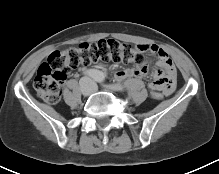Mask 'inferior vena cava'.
<instances>
[{"mask_svg":"<svg viewBox=\"0 0 219 174\" xmlns=\"http://www.w3.org/2000/svg\"><path fill=\"white\" fill-rule=\"evenodd\" d=\"M87 83L89 84V93H92L97 89L96 83L90 78H87Z\"/></svg>","mask_w":219,"mask_h":174,"instance_id":"602c4592","label":"inferior vena cava"}]
</instances>
